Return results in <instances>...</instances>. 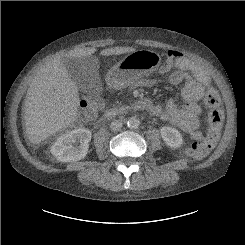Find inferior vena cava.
<instances>
[{
    "instance_id": "1",
    "label": "inferior vena cava",
    "mask_w": 245,
    "mask_h": 245,
    "mask_svg": "<svg viewBox=\"0 0 245 245\" xmlns=\"http://www.w3.org/2000/svg\"><path fill=\"white\" fill-rule=\"evenodd\" d=\"M122 125H123V123L120 120H113L111 122L110 127H111L112 131H119V130H121Z\"/></svg>"
}]
</instances>
